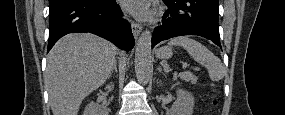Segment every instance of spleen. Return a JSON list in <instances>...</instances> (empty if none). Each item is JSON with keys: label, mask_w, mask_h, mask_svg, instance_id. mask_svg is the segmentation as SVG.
Instances as JSON below:
<instances>
[{"label": "spleen", "mask_w": 285, "mask_h": 115, "mask_svg": "<svg viewBox=\"0 0 285 115\" xmlns=\"http://www.w3.org/2000/svg\"><path fill=\"white\" fill-rule=\"evenodd\" d=\"M168 45L182 46L195 61L207 68L212 81L224 78L226 69L221 60L200 42L188 36H181L170 40Z\"/></svg>", "instance_id": "obj_1"}]
</instances>
